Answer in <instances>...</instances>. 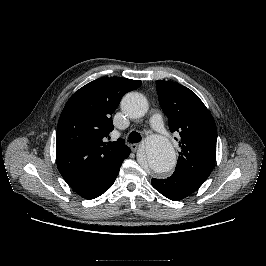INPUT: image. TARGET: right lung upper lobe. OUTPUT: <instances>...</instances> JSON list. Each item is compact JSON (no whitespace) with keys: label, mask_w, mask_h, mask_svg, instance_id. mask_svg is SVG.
Instances as JSON below:
<instances>
[{"label":"right lung upper lobe","mask_w":266,"mask_h":266,"mask_svg":"<svg viewBox=\"0 0 266 266\" xmlns=\"http://www.w3.org/2000/svg\"><path fill=\"white\" fill-rule=\"evenodd\" d=\"M121 77L98 78L76 91L57 126L56 163L68 184L85 181L117 164L130 150L123 139L106 142L122 96L141 85Z\"/></svg>","instance_id":"cb5924a9"}]
</instances>
